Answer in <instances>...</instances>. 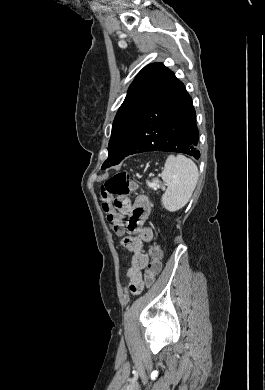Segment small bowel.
I'll return each mask as SVG.
<instances>
[{
  "instance_id": "obj_1",
  "label": "small bowel",
  "mask_w": 265,
  "mask_h": 390,
  "mask_svg": "<svg viewBox=\"0 0 265 390\" xmlns=\"http://www.w3.org/2000/svg\"><path fill=\"white\" fill-rule=\"evenodd\" d=\"M114 205L122 216L129 215L127 228L130 234L122 239L121 246L133 253L126 280L128 292L137 295L144 288L142 270L149 262L143 245L153 240L152 229L144 226L151 210L150 201L145 195L137 196L134 203L126 196H119L114 199Z\"/></svg>"
}]
</instances>
